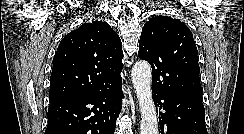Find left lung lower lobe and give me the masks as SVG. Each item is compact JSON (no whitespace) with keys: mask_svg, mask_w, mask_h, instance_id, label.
Here are the masks:
<instances>
[{"mask_svg":"<svg viewBox=\"0 0 244 134\" xmlns=\"http://www.w3.org/2000/svg\"><path fill=\"white\" fill-rule=\"evenodd\" d=\"M153 100L165 110L159 114L161 134H208L202 99L153 89Z\"/></svg>","mask_w":244,"mask_h":134,"instance_id":"1","label":"left lung lower lobe"}]
</instances>
